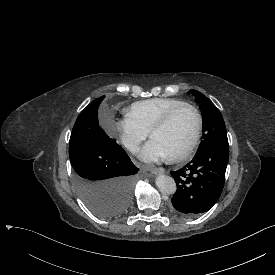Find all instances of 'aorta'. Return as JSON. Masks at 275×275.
Instances as JSON below:
<instances>
[{
  "label": "aorta",
  "instance_id": "aorta-1",
  "mask_svg": "<svg viewBox=\"0 0 275 275\" xmlns=\"http://www.w3.org/2000/svg\"><path fill=\"white\" fill-rule=\"evenodd\" d=\"M155 183L160 192L163 194L171 195L174 194L176 191V183L174 179L170 176L160 174L157 176Z\"/></svg>",
  "mask_w": 275,
  "mask_h": 275
}]
</instances>
